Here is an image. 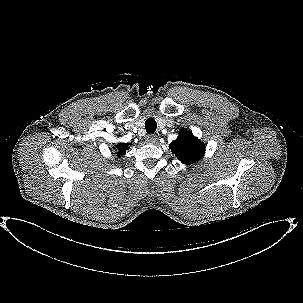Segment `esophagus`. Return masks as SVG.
<instances>
[{"label":"esophagus","instance_id":"1","mask_svg":"<svg viewBox=\"0 0 303 303\" xmlns=\"http://www.w3.org/2000/svg\"><path fill=\"white\" fill-rule=\"evenodd\" d=\"M157 141H158V138H157L156 135L151 134V135H148V136H147V142H148V143H150V144H155V143H157Z\"/></svg>","mask_w":303,"mask_h":303}]
</instances>
